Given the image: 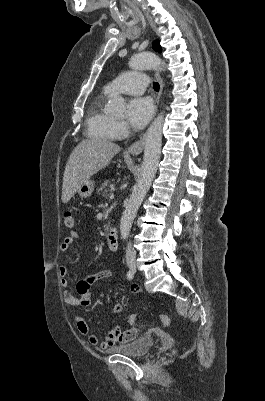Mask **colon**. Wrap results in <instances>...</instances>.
Returning <instances> with one entry per match:
<instances>
[{"label":"colon","instance_id":"1","mask_svg":"<svg viewBox=\"0 0 265 401\" xmlns=\"http://www.w3.org/2000/svg\"><path fill=\"white\" fill-rule=\"evenodd\" d=\"M64 224L67 228L72 229L75 226V218L71 212H66L64 215ZM160 321L163 325L169 323V318L166 315H160ZM137 319V314H131L129 316V323L133 325ZM128 337L134 339L137 336V330L135 328L129 329L127 332Z\"/></svg>","mask_w":265,"mask_h":401}]
</instances>
